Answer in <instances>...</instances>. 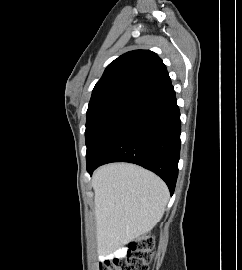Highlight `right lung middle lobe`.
<instances>
[{
	"label": "right lung middle lobe",
	"mask_w": 242,
	"mask_h": 270,
	"mask_svg": "<svg viewBox=\"0 0 242 270\" xmlns=\"http://www.w3.org/2000/svg\"><path fill=\"white\" fill-rule=\"evenodd\" d=\"M135 106L136 104L131 102H113L87 110V162L95 158Z\"/></svg>",
	"instance_id": "dd1d6c3e"
}]
</instances>
